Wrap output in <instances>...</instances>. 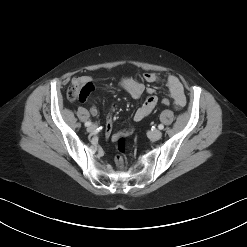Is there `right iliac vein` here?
Masks as SVG:
<instances>
[{"mask_svg":"<svg viewBox=\"0 0 247 247\" xmlns=\"http://www.w3.org/2000/svg\"><path fill=\"white\" fill-rule=\"evenodd\" d=\"M97 130V126L96 125H90L88 128H87V131L89 133H93Z\"/></svg>","mask_w":247,"mask_h":247,"instance_id":"right-iliac-vein-1","label":"right iliac vein"}]
</instances>
